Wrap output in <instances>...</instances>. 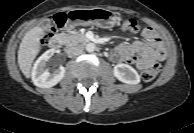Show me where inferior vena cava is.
I'll list each match as a JSON object with an SVG mask.
<instances>
[{"instance_id": "602c4592", "label": "inferior vena cava", "mask_w": 194, "mask_h": 133, "mask_svg": "<svg viewBox=\"0 0 194 133\" xmlns=\"http://www.w3.org/2000/svg\"><path fill=\"white\" fill-rule=\"evenodd\" d=\"M82 52H83V49L81 47H69L66 50V53H67L68 57H70V58L78 56Z\"/></svg>"}]
</instances>
